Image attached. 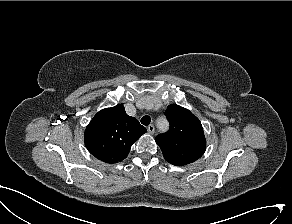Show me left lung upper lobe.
Masks as SVG:
<instances>
[{
	"instance_id": "5c2ea615",
	"label": "left lung upper lobe",
	"mask_w": 292,
	"mask_h": 224,
	"mask_svg": "<svg viewBox=\"0 0 292 224\" xmlns=\"http://www.w3.org/2000/svg\"><path fill=\"white\" fill-rule=\"evenodd\" d=\"M165 115L170 129L155 138L165 160L175 166H183L199 159L205 152L206 140L199 119L188 109L171 104Z\"/></svg>"
}]
</instances>
